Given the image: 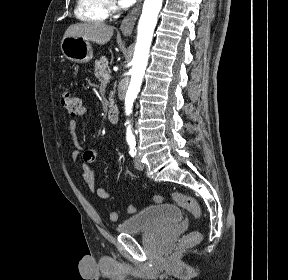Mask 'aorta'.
<instances>
[{
  "instance_id": "762f6f07",
  "label": "aorta",
  "mask_w": 288,
  "mask_h": 280,
  "mask_svg": "<svg viewBox=\"0 0 288 280\" xmlns=\"http://www.w3.org/2000/svg\"><path fill=\"white\" fill-rule=\"evenodd\" d=\"M163 0H144L142 14L138 24L137 41L132 60L131 81L125 96L126 116H131L133 103L140 91L142 79L148 63L149 50L157 24L158 14ZM126 121L125 136L127 140H134L136 126Z\"/></svg>"
}]
</instances>
